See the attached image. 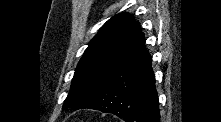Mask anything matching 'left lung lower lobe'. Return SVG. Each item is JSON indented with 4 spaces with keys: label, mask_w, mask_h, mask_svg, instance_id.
Returning <instances> with one entry per match:
<instances>
[{
    "label": "left lung lower lobe",
    "mask_w": 221,
    "mask_h": 122,
    "mask_svg": "<svg viewBox=\"0 0 221 122\" xmlns=\"http://www.w3.org/2000/svg\"><path fill=\"white\" fill-rule=\"evenodd\" d=\"M137 22L117 64L96 93L80 107L112 113L127 122H159L151 57Z\"/></svg>",
    "instance_id": "left-lung-lower-lobe-1"
}]
</instances>
